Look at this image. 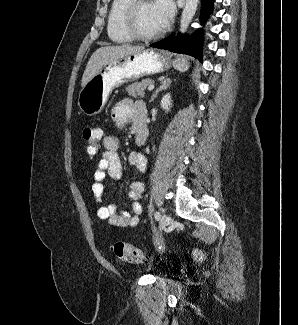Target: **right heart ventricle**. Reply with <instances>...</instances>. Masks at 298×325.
Returning <instances> with one entry per match:
<instances>
[{
	"label": "right heart ventricle",
	"instance_id": "1",
	"mask_svg": "<svg viewBox=\"0 0 298 325\" xmlns=\"http://www.w3.org/2000/svg\"><path fill=\"white\" fill-rule=\"evenodd\" d=\"M128 0H115L107 15V36L110 42L117 46L129 45L133 40L121 29L120 17Z\"/></svg>",
	"mask_w": 298,
	"mask_h": 325
}]
</instances>
